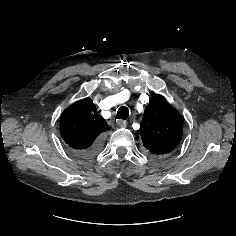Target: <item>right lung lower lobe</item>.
Returning <instances> with one entry per match:
<instances>
[{
  "label": "right lung lower lobe",
  "mask_w": 236,
  "mask_h": 236,
  "mask_svg": "<svg viewBox=\"0 0 236 236\" xmlns=\"http://www.w3.org/2000/svg\"><path fill=\"white\" fill-rule=\"evenodd\" d=\"M102 147V140L99 138L96 142L88 149L77 151V154L84 158H89L97 154Z\"/></svg>",
  "instance_id": "obj_1"
}]
</instances>
